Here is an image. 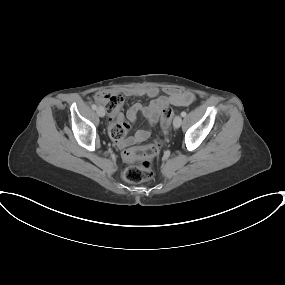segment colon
<instances>
[{
  "label": "colon",
  "instance_id": "colon-1",
  "mask_svg": "<svg viewBox=\"0 0 285 285\" xmlns=\"http://www.w3.org/2000/svg\"><path fill=\"white\" fill-rule=\"evenodd\" d=\"M96 99L104 105L109 114L117 113L120 110L123 101L120 95L108 92H99L96 95ZM172 119V110L169 108L165 109L161 117V127L163 129H168L172 123ZM127 129V124L121 127H115L110 130V136L113 140L119 142L124 139ZM161 145L162 143L160 140H154L143 146L126 148L123 152V157L126 160L132 161L141 159L142 162L139 165L128 166L124 170V178L131 183H140L150 180L153 176L151 159L159 153Z\"/></svg>",
  "mask_w": 285,
  "mask_h": 285
}]
</instances>
